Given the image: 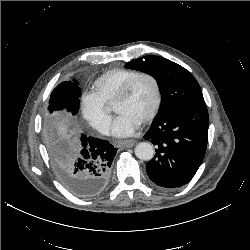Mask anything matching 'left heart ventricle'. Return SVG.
<instances>
[{"instance_id": "left-heart-ventricle-1", "label": "left heart ventricle", "mask_w": 250, "mask_h": 250, "mask_svg": "<svg viewBox=\"0 0 250 250\" xmlns=\"http://www.w3.org/2000/svg\"><path fill=\"white\" fill-rule=\"evenodd\" d=\"M156 102L154 85L148 78L135 84L130 96L114 107L118 114H126L141 123L153 110Z\"/></svg>"}]
</instances>
